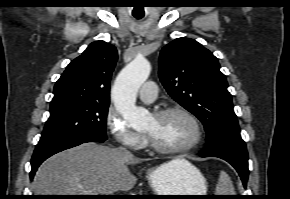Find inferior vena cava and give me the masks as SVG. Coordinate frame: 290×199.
<instances>
[{
  "instance_id": "602c4592",
  "label": "inferior vena cava",
  "mask_w": 290,
  "mask_h": 199,
  "mask_svg": "<svg viewBox=\"0 0 290 199\" xmlns=\"http://www.w3.org/2000/svg\"><path fill=\"white\" fill-rule=\"evenodd\" d=\"M119 150L124 154L130 155L131 153L125 147H119Z\"/></svg>"
}]
</instances>
